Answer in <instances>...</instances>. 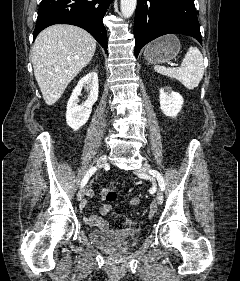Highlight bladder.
<instances>
[{
  "label": "bladder",
  "instance_id": "31cf9c89",
  "mask_svg": "<svg viewBox=\"0 0 240 281\" xmlns=\"http://www.w3.org/2000/svg\"><path fill=\"white\" fill-rule=\"evenodd\" d=\"M89 238L96 246L111 250L125 251L140 242L141 234L100 229L91 231L89 233Z\"/></svg>",
  "mask_w": 240,
  "mask_h": 281
}]
</instances>
